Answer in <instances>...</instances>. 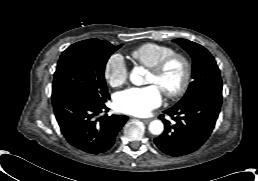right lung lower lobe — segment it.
<instances>
[{"instance_id": "1", "label": "right lung lower lobe", "mask_w": 258, "mask_h": 181, "mask_svg": "<svg viewBox=\"0 0 258 181\" xmlns=\"http://www.w3.org/2000/svg\"><path fill=\"white\" fill-rule=\"evenodd\" d=\"M57 122L66 140L74 147L90 154L109 150L128 120L124 115L97 118L108 109L105 104H93L82 98L61 95L52 98Z\"/></svg>"}]
</instances>
